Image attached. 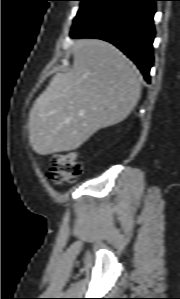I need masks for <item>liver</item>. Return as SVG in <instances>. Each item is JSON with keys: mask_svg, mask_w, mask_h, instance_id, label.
<instances>
[{"mask_svg": "<svg viewBox=\"0 0 180 299\" xmlns=\"http://www.w3.org/2000/svg\"><path fill=\"white\" fill-rule=\"evenodd\" d=\"M67 73H57L29 114V139L40 155L78 149L95 132L131 113L141 95L140 73L117 48L79 39Z\"/></svg>", "mask_w": 180, "mask_h": 299, "instance_id": "6515ba94", "label": "liver"}]
</instances>
